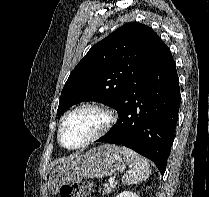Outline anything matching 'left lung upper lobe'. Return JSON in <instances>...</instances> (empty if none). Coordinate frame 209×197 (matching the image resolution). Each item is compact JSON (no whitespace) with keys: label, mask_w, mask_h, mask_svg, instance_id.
Listing matches in <instances>:
<instances>
[{"label":"left lung upper lobe","mask_w":209,"mask_h":197,"mask_svg":"<svg viewBox=\"0 0 209 197\" xmlns=\"http://www.w3.org/2000/svg\"><path fill=\"white\" fill-rule=\"evenodd\" d=\"M164 46L146 25L131 22L116 29L91 47L72 70L61 92L58 115L76 103L89 100L116 109Z\"/></svg>","instance_id":"5c2ea615"}]
</instances>
